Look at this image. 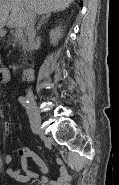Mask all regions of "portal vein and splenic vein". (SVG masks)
<instances>
[{
    "mask_svg": "<svg viewBox=\"0 0 119 185\" xmlns=\"http://www.w3.org/2000/svg\"><path fill=\"white\" fill-rule=\"evenodd\" d=\"M22 34V30L20 28H17L15 31V35L19 37Z\"/></svg>",
    "mask_w": 119,
    "mask_h": 185,
    "instance_id": "obj_1",
    "label": "portal vein and splenic vein"
}]
</instances>
